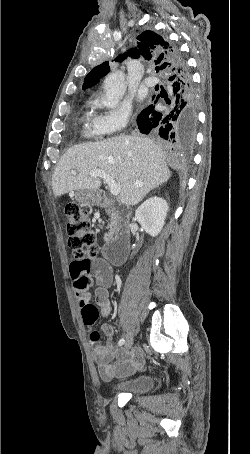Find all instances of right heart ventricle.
Wrapping results in <instances>:
<instances>
[{"label": "right heart ventricle", "mask_w": 250, "mask_h": 454, "mask_svg": "<svg viewBox=\"0 0 250 454\" xmlns=\"http://www.w3.org/2000/svg\"><path fill=\"white\" fill-rule=\"evenodd\" d=\"M97 115L92 113H87L83 117V125H82V134L86 138H96L101 134L100 130L96 124Z\"/></svg>", "instance_id": "e07e8e85"}]
</instances>
